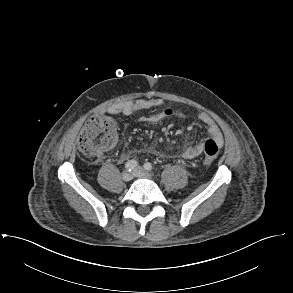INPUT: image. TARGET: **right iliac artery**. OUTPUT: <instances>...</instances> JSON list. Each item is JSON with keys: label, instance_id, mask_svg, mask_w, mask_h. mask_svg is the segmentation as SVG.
<instances>
[{"label": "right iliac artery", "instance_id": "82829eb1", "mask_svg": "<svg viewBox=\"0 0 293 293\" xmlns=\"http://www.w3.org/2000/svg\"><path fill=\"white\" fill-rule=\"evenodd\" d=\"M138 163L136 160H129L125 164V168L127 171H132L135 167H137Z\"/></svg>", "mask_w": 293, "mask_h": 293}]
</instances>
